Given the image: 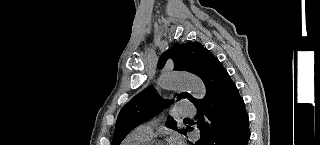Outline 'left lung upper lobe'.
<instances>
[{
  "label": "left lung upper lobe",
  "mask_w": 320,
  "mask_h": 145,
  "mask_svg": "<svg viewBox=\"0 0 320 145\" xmlns=\"http://www.w3.org/2000/svg\"><path fill=\"white\" fill-rule=\"evenodd\" d=\"M168 58H172L174 69L191 72L200 78L205 69L217 58L199 42L175 43L160 57L158 68H162ZM189 98L193 103L197 100L188 93L178 94L177 98ZM172 102L164 103L152 87L146 88L134 96L120 111L116 122L112 145H119L126 135L145 120L155 116ZM176 122L168 117L166 126L176 128ZM186 134V129L179 130Z\"/></svg>",
  "instance_id": "obj_1"
}]
</instances>
